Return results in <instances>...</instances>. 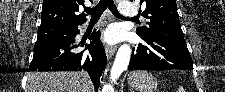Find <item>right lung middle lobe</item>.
Here are the masks:
<instances>
[{
    "instance_id": "dd1d6c3e",
    "label": "right lung middle lobe",
    "mask_w": 225,
    "mask_h": 92,
    "mask_svg": "<svg viewBox=\"0 0 225 92\" xmlns=\"http://www.w3.org/2000/svg\"><path fill=\"white\" fill-rule=\"evenodd\" d=\"M76 27L72 26H45L38 28V36L35 44H41L48 41L66 39L73 34Z\"/></svg>"
}]
</instances>
